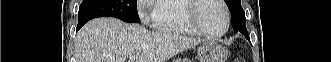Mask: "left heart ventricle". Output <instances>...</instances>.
<instances>
[{
    "label": "left heart ventricle",
    "mask_w": 331,
    "mask_h": 62,
    "mask_svg": "<svg viewBox=\"0 0 331 62\" xmlns=\"http://www.w3.org/2000/svg\"><path fill=\"white\" fill-rule=\"evenodd\" d=\"M196 16L202 27L210 33H220L224 29V13L215 1H203L197 9Z\"/></svg>",
    "instance_id": "left-heart-ventricle-1"
}]
</instances>
